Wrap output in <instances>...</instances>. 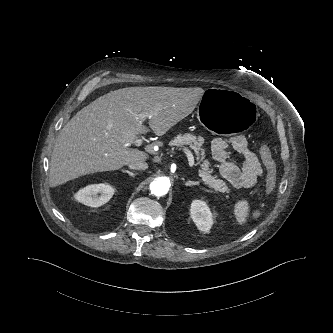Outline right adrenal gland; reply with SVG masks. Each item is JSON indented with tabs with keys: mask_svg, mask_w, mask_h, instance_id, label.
<instances>
[{
	"mask_svg": "<svg viewBox=\"0 0 333 333\" xmlns=\"http://www.w3.org/2000/svg\"><path fill=\"white\" fill-rule=\"evenodd\" d=\"M123 173H127L129 176H131V177H135L136 176V173H133V172H131V171H129V170H125V169H122L121 170Z\"/></svg>",
	"mask_w": 333,
	"mask_h": 333,
	"instance_id": "right-adrenal-gland-1",
	"label": "right adrenal gland"
}]
</instances>
